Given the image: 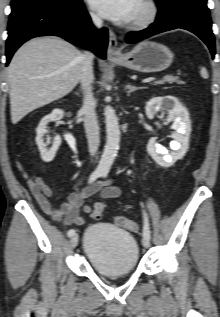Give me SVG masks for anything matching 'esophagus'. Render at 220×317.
Here are the masks:
<instances>
[{"mask_svg": "<svg viewBox=\"0 0 220 317\" xmlns=\"http://www.w3.org/2000/svg\"><path fill=\"white\" fill-rule=\"evenodd\" d=\"M120 55V51L117 47V37L115 33L110 30L109 31V41H108V48H107V57L113 58Z\"/></svg>", "mask_w": 220, "mask_h": 317, "instance_id": "obj_1", "label": "esophagus"}]
</instances>
